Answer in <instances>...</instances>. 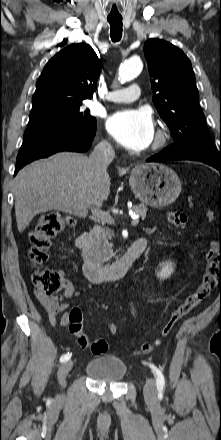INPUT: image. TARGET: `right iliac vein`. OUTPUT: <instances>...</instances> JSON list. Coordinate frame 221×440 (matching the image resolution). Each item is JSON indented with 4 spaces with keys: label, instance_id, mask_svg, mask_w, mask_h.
<instances>
[{
    "label": "right iliac vein",
    "instance_id": "1",
    "mask_svg": "<svg viewBox=\"0 0 221 440\" xmlns=\"http://www.w3.org/2000/svg\"><path fill=\"white\" fill-rule=\"evenodd\" d=\"M72 367H73V362L68 361L63 363L58 370V374H57L58 381L63 388L66 386V376L69 373V371L72 369Z\"/></svg>",
    "mask_w": 221,
    "mask_h": 440
}]
</instances>
